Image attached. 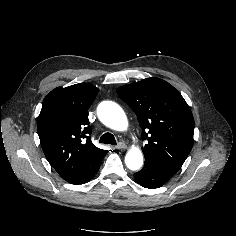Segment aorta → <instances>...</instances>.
I'll return each mask as SVG.
<instances>
[{
  "label": "aorta",
  "instance_id": "aorta-1",
  "mask_svg": "<svg viewBox=\"0 0 236 236\" xmlns=\"http://www.w3.org/2000/svg\"><path fill=\"white\" fill-rule=\"evenodd\" d=\"M98 117L107 127L123 131L128 126L127 117L123 109L115 102L104 101L98 107ZM126 166L130 170H138L143 165V155L140 149L133 147L125 156Z\"/></svg>",
  "mask_w": 236,
  "mask_h": 236
}]
</instances>
